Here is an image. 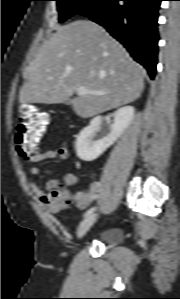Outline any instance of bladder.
<instances>
[{
    "label": "bladder",
    "instance_id": "obj_1",
    "mask_svg": "<svg viewBox=\"0 0 180 299\" xmlns=\"http://www.w3.org/2000/svg\"><path fill=\"white\" fill-rule=\"evenodd\" d=\"M98 242L114 245L121 239V231L118 227L108 226L100 229L95 238Z\"/></svg>",
    "mask_w": 180,
    "mask_h": 299
}]
</instances>
